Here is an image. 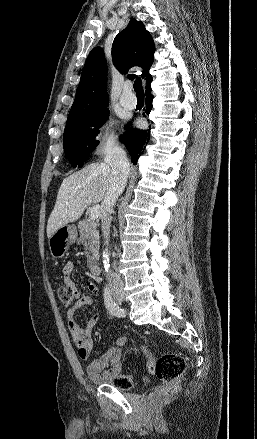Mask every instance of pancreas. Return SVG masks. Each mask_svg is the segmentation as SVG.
Segmentation results:
<instances>
[{
  "mask_svg": "<svg viewBox=\"0 0 257 439\" xmlns=\"http://www.w3.org/2000/svg\"><path fill=\"white\" fill-rule=\"evenodd\" d=\"M80 238L79 242L84 245L87 263L90 264L98 256L99 232L94 220H82L78 223Z\"/></svg>",
  "mask_w": 257,
  "mask_h": 439,
  "instance_id": "obj_1",
  "label": "pancreas"
}]
</instances>
